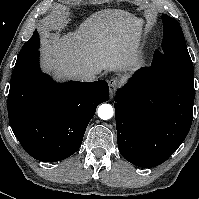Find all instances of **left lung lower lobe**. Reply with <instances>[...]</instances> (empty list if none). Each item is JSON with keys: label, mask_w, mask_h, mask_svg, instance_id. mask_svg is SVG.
<instances>
[{"label": "left lung lower lobe", "mask_w": 199, "mask_h": 199, "mask_svg": "<svg viewBox=\"0 0 199 199\" xmlns=\"http://www.w3.org/2000/svg\"><path fill=\"white\" fill-rule=\"evenodd\" d=\"M194 96V71L154 60L138 70L114 99L121 155L143 168L165 162L190 130Z\"/></svg>", "instance_id": "0a47b994"}]
</instances>
